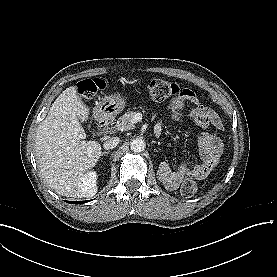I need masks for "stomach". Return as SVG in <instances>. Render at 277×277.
I'll return each instance as SVG.
<instances>
[{
    "label": "stomach",
    "mask_w": 277,
    "mask_h": 277,
    "mask_svg": "<svg viewBox=\"0 0 277 277\" xmlns=\"http://www.w3.org/2000/svg\"><path fill=\"white\" fill-rule=\"evenodd\" d=\"M126 105V99L122 95H111L105 97L101 102L102 110L109 115L120 113Z\"/></svg>",
    "instance_id": "stomach-1"
}]
</instances>
